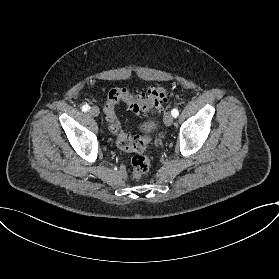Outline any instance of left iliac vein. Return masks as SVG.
Listing matches in <instances>:
<instances>
[{"label":"left iliac vein","mask_w":279,"mask_h":279,"mask_svg":"<svg viewBox=\"0 0 279 279\" xmlns=\"http://www.w3.org/2000/svg\"><path fill=\"white\" fill-rule=\"evenodd\" d=\"M172 123H173V118H172V116H171L170 113H167V114L165 115V124H166L167 126H171Z\"/></svg>","instance_id":"obj_1"}]
</instances>
